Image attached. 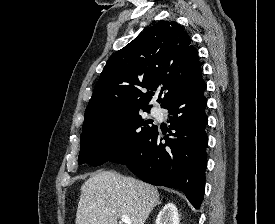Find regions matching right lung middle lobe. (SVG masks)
I'll use <instances>...</instances> for the list:
<instances>
[{
    "mask_svg": "<svg viewBox=\"0 0 275 224\" xmlns=\"http://www.w3.org/2000/svg\"><path fill=\"white\" fill-rule=\"evenodd\" d=\"M149 112L150 108L142 109ZM139 115V110L117 115L82 129L79 164L93 166L112 161L135 146L155 125Z\"/></svg>",
    "mask_w": 275,
    "mask_h": 224,
    "instance_id": "1",
    "label": "right lung middle lobe"
}]
</instances>
